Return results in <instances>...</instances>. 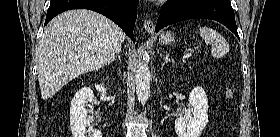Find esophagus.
<instances>
[{"mask_svg": "<svg viewBox=\"0 0 280 137\" xmlns=\"http://www.w3.org/2000/svg\"><path fill=\"white\" fill-rule=\"evenodd\" d=\"M143 26L149 33L154 32V21L153 20H151V19L145 20L143 22Z\"/></svg>", "mask_w": 280, "mask_h": 137, "instance_id": "esophagus-1", "label": "esophagus"}]
</instances>
